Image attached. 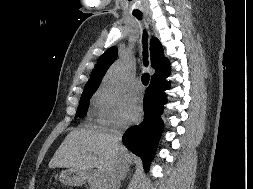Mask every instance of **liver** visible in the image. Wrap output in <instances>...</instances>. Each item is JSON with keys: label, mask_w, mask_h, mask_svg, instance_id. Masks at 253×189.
I'll return each mask as SVG.
<instances>
[{"label": "liver", "mask_w": 253, "mask_h": 189, "mask_svg": "<svg viewBox=\"0 0 253 189\" xmlns=\"http://www.w3.org/2000/svg\"><path fill=\"white\" fill-rule=\"evenodd\" d=\"M134 155L119 144H113L112 135L79 128L70 132L52 157L50 168H69L86 172L97 168L103 180L118 160L131 163Z\"/></svg>", "instance_id": "6515ba94"}]
</instances>
